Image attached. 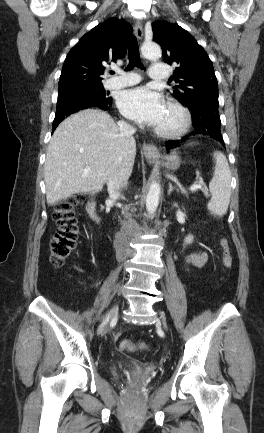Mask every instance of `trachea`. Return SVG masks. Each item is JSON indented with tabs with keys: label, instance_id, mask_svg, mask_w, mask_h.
<instances>
[{
	"label": "trachea",
	"instance_id": "obj_1",
	"mask_svg": "<svg viewBox=\"0 0 264 433\" xmlns=\"http://www.w3.org/2000/svg\"><path fill=\"white\" fill-rule=\"evenodd\" d=\"M128 58L129 64L126 70H130L133 67H139L141 69L143 68L142 63L140 62L139 47L135 36H131L129 40Z\"/></svg>",
	"mask_w": 264,
	"mask_h": 433
}]
</instances>
